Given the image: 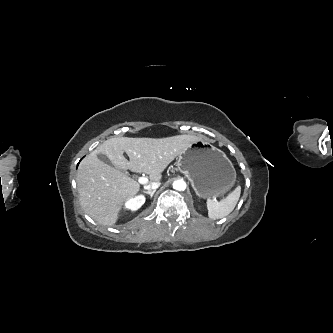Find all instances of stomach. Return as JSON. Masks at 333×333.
Masks as SVG:
<instances>
[{"label": "stomach", "instance_id": "obj_1", "mask_svg": "<svg viewBox=\"0 0 333 333\" xmlns=\"http://www.w3.org/2000/svg\"><path fill=\"white\" fill-rule=\"evenodd\" d=\"M177 167L203 199L223 196L236 180L235 168L226 154L202 138L179 154Z\"/></svg>", "mask_w": 333, "mask_h": 333}]
</instances>
